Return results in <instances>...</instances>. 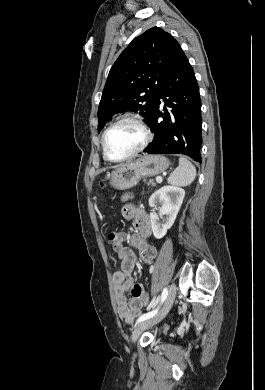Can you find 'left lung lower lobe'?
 <instances>
[{"mask_svg": "<svg viewBox=\"0 0 265 390\" xmlns=\"http://www.w3.org/2000/svg\"><path fill=\"white\" fill-rule=\"evenodd\" d=\"M148 126L155 136L145 149L148 154H183L201 163L202 121L199 88L184 52L157 93ZM163 99L164 113L159 111ZM159 118L163 120L160 121Z\"/></svg>", "mask_w": 265, "mask_h": 390, "instance_id": "1", "label": "left lung lower lobe"}]
</instances>
